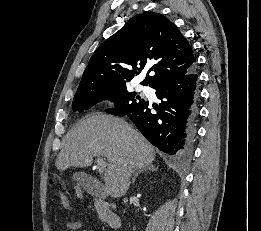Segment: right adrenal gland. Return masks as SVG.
Returning <instances> with one entry per match:
<instances>
[{
	"mask_svg": "<svg viewBox=\"0 0 261 231\" xmlns=\"http://www.w3.org/2000/svg\"><path fill=\"white\" fill-rule=\"evenodd\" d=\"M148 170H150V171H157L158 168H155V166H154L153 164H150V165H148L147 167H145V168H143V169L137 171V172L135 173V175H134V178H133V180H132V183H134V182L136 181V178L138 177V175H139L140 173L146 172V171H148Z\"/></svg>",
	"mask_w": 261,
	"mask_h": 231,
	"instance_id": "2a0ac1e0",
	"label": "right adrenal gland"
}]
</instances>
